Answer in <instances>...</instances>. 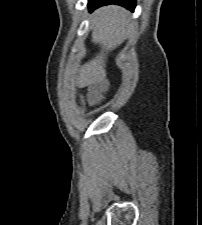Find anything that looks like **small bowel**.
Here are the masks:
<instances>
[{
    "label": "small bowel",
    "instance_id": "c3829d8e",
    "mask_svg": "<svg viewBox=\"0 0 202 225\" xmlns=\"http://www.w3.org/2000/svg\"><path fill=\"white\" fill-rule=\"evenodd\" d=\"M96 86L94 85V86H92V88H95ZM92 96V94L90 93V92H88L87 94H86V97H91Z\"/></svg>",
    "mask_w": 202,
    "mask_h": 225
}]
</instances>
